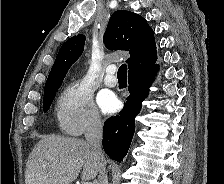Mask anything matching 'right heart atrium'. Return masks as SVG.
I'll return each mask as SVG.
<instances>
[{
    "instance_id": "d8ad5b80",
    "label": "right heart atrium",
    "mask_w": 224,
    "mask_h": 184,
    "mask_svg": "<svg viewBox=\"0 0 224 184\" xmlns=\"http://www.w3.org/2000/svg\"><path fill=\"white\" fill-rule=\"evenodd\" d=\"M56 119L64 132L74 136L97 131L102 126L92 94L81 81L63 89L56 106Z\"/></svg>"
}]
</instances>
